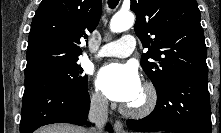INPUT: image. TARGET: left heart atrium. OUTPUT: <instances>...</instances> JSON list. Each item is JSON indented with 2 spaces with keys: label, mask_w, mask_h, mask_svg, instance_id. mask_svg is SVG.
Segmentation results:
<instances>
[{
  "label": "left heart atrium",
  "mask_w": 221,
  "mask_h": 133,
  "mask_svg": "<svg viewBox=\"0 0 221 133\" xmlns=\"http://www.w3.org/2000/svg\"><path fill=\"white\" fill-rule=\"evenodd\" d=\"M97 87L111 100L129 104L142 90L137 70L127 64L112 63L98 72Z\"/></svg>",
  "instance_id": "39dd6f15"
}]
</instances>
